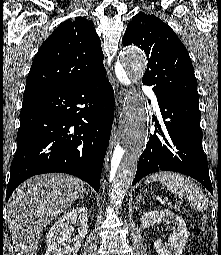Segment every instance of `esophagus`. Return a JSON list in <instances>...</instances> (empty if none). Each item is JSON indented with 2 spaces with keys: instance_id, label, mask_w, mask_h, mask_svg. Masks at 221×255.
<instances>
[{
  "instance_id": "34e87169",
  "label": "esophagus",
  "mask_w": 221,
  "mask_h": 255,
  "mask_svg": "<svg viewBox=\"0 0 221 255\" xmlns=\"http://www.w3.org/2000/svg\"><path fill=\"white\" fill-rule=\"evenodd\" d=\"M124 89H121L119 92H118V97H117V106L119 107V105L122 103V99H123V95H124Z\"/></svg>"
}]
</instances>
